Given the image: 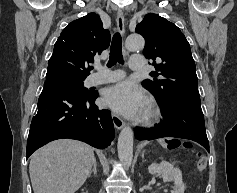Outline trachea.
I'll use <instances>...</instances> for the list:
<instances>
[{
	"mask_svg": "<svg viewBox=\"0 0 237 193\" xmlns=\"http://www.w3.org/2000/svg\"><path fill=\"white\" fill-rule=\"evenodd\" d=\"M117 62L123 63L122 39L119 33H115L110 48V57L107 66L111 67Z\"/></svg>",
	"mask_w": 237,
	"mask_h": 193,
	"instance_id": "trachea-1",
	"label": "trachea"
}]
</instances>
